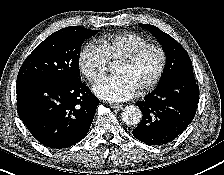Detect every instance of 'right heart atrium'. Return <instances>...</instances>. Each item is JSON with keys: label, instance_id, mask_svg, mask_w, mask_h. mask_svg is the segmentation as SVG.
Listing matches in <instances>:
<instances>
[{"label": "right heart atrium", "instance_id": "right-heart-atrium-1", "mask_svg": "<svg viewBox=\"0 0 224 175\" xmlns=\"http://www.w3.org/2000/svg\"><path fill=\"white\" fill-rule=\"evenodd\" d=\"M109 60L96 44H86L79 54V66L83 75L90 81L96 82L103 77L107 71Z\"/></svg>", "mask_w": 224, "mask_h": 175}]
</instances>
